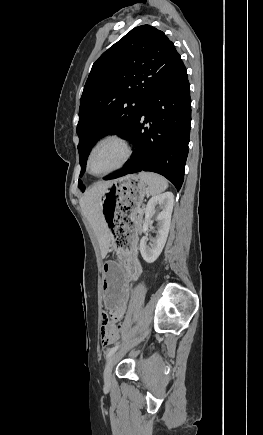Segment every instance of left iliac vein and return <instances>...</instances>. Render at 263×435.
I'll use <instances>...</instances> for the list:
<instances>
[{
    "label": "left iliac vein",
    "instance_id": "obj_1",
    "mask_svg": "<svg viewBox=\"0 0 263 435\" xmlns=\"http://www.w3.org/2000/svg\"><path fill=\"white\" fill-rule=\"evenodd\" d=\"M147 335V332L145 333V335L143 336V338ZM143 338H141L138 342H140ZM138 342H136L134 345H136ZM123 353V351H119V352H115L113 353L105 366L104 369V373H103V378H104V383L106 386H110L111 384V373H112V368L114 363L116 362V360L121 356V354Z\"/></svg>",
    "mask_w": 263,
    "mask_h": 435
}]
</instances>
